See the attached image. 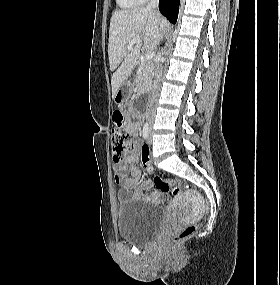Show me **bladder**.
I'll list each match as a JSON object with an SVG mask.
<instances>
[{
	"mask_svg": "<svg viewBox=\"0 0 280 285\" xmlns=\"http://www.w3.org/2000/svg\"><path fill=\"white\" fill-rule=\"evenodd\" d=\"M163 222L162 211L144 200L124 201L117 210L119 236L137 245H146L156 237Z\"/></svg>",
	"mask_w": 280,
	"mask_h": 285,
	"instance_id": "1",
	"label": "bladder"
}]
</instances>
